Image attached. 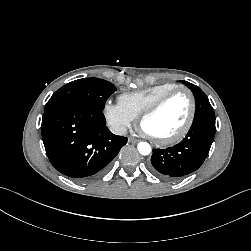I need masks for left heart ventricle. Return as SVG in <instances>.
<instances>
[{
	"mask_svg": "<svg viewBox=\"0 0 251 251\" xmlns=\"http://www.w3.org/2000/svg\"><path fill=\"white\" fill-rule=\"evenodd\" d=\"M190 112V100L183 93L171 97L154 115L147 118L142 128L156 138H167L177 133L187 121Z\"/></svg>",
	"mask_w": 251,
	"mask_h": 251,
	"instance_id": "b2bd125f",
	"label": "left heart ventricle"
}]
</instances>
